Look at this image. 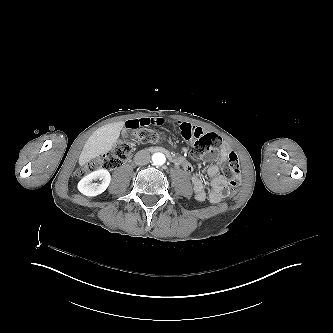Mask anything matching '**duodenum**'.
Instances as JSON below:
<instances>
[{"mask_svg":"<svg viewBox=\"0 0 333 333\" xmlns=\"http://www.w3.org/2000/svg\"><path fill=\"white\" fill-rule=\"evenodd\" d=\"M151 152H161L166 154L173 162L177 163V158L175 156H173L168 150H166L165 148L162 147H151L148 149Z\"/></svg>","mask_w":333,"mask_h":333,"instance_id":"duodenum-1","label":"duodenum"}]
</instances>
